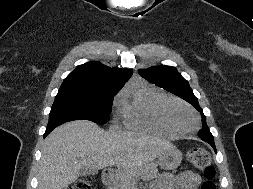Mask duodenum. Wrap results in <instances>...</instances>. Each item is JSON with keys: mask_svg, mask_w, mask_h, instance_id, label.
<instances>
[{"mask_svg": "<svg viewBox=\"0 0 253 189\" xmlns=\"http://www.w3.org/2000/svg\"><path fill=\"white\" fill-rule=\"evenodd\" d=\"M113 178H114V173L111 169H105L102 172L101 180H102L103 185L105 186L111 185Z\"/></svg>", "mask_w": 253, "mask_h": 189, "instance_id": "1", "label": "duodenum"}]
</instances>
